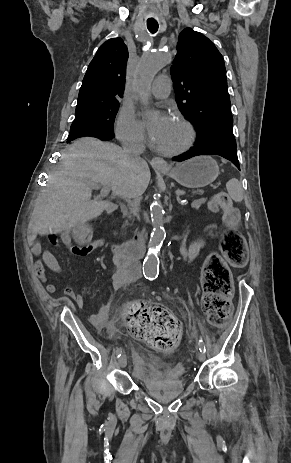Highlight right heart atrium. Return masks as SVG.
<instances>
[{
    "instance_id": "right-heart-atrium-1",
    "label": "right heart atrium",
    "mask_w": 291,
    "mask_h": 463,
    "mask_svg": "<svg viewBox=\"0 0 291 463\" xmlns=\"http://www.w3.org/2000/svg\"><path fill=\"white\" fill-rule=\"evenodd\" d=\"M116 135L126 144L140 145L145 142L143 126L133 111L122 109L116 122Z\"/></svg>"
}]
</instances>
